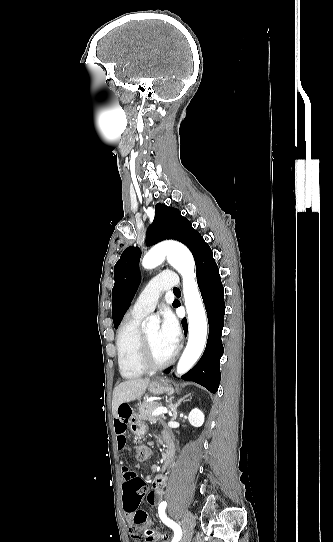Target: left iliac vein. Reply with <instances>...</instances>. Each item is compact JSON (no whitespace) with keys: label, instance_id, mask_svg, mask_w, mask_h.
Returning <instances> with one entry per match:
<instances>
[{"label":"left iliac vein","instance_id":"4c4485c4","mask_svg":"<svg viewBox=\"0 0 333 542\" xmlns=\"http://www.w3.org/2000/svg\"><path fill=\"white\" fill-rule=\"evenodd\" d=\"M195 521L190 511H185L182 521V538L180 542H190L194 532Z\"/></svg>","mask_w":333,"mask_h":542}]
</instances>
